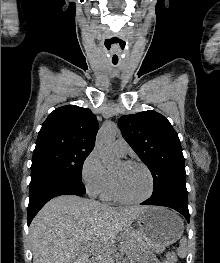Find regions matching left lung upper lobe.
<instances>
[{
    "mask_svg": "<svg viewBox=\"0 0 220 263\" xmlns=\"http://www.w3.org/2000/svg\"><path fill=\"white\" fill-rule=\"evenodd\" d=\"M124 139L151 171V197H172L188 202L185 164L179 137L170 122L148 110L119 119Z\"/></svg>",
    "mask_w": 220,
    "mask_h": 263,
    "instance_id": "1",
    "label": "left lung upper lobe"
}]
</instances>
